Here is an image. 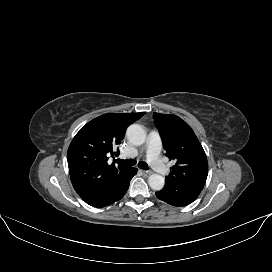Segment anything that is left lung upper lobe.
Wrapping results in <instances>:
<instances>
[{
    "label": "left lung upper lobe",
    "instance_id": "obj_1",
    "mask_svg": "<svg viewBox=\"0 0 272 272\" xmlns=\"http://www.w3.org/2000/svg\"><path fill=\"white\" fill-rule=\"evenodd\" d=\"M153 118L162 137L166 156L175 160L165 178L170 184H202L208 174L206 154L193 130L181 118L154 112Z\"/></svg>",
    "mask_w": 272,
    "mask_h": 272
}]
</instances>
